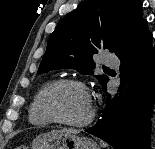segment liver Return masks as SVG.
<instances>
[{"label":"liver","instance_id":"6515ba94","mask_svg":"<svg viewBox=\"0 0 155 149\" xmlns=\"http://www.w3.org/2000/svg\"><path fill=\"white\" fill-rule=\"evenodd\" d=\"M57 132L71 133V134H75L76 135V134H78L80 132V130H78V129H67V128H65V129L59 130Z\"/></svg>","mask_w":155,"mask_h":149}]
</instances>
